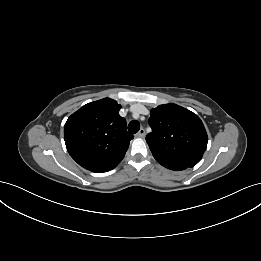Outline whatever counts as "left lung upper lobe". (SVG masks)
Instances as JSON below:
<instances>
[{
  "label": "left lung upper lobe",
  "mask_w": 261,
  "mask_h": 261,
  "mask_svg": "<svg viewBox=\"0 0 261 261\" xmlns=\"http://www.w3.org/2000/svg\"><path fill=\"white\" fill-rule=\"evenodd\" d=\"M152 132L146 141L154 158L193 167L202 158L208 142L200 118L179 105L164 104L151 110Z\"/></svg>",
  "instance_id": "left-lung-upper-lobe-1"
}]
</instances>
